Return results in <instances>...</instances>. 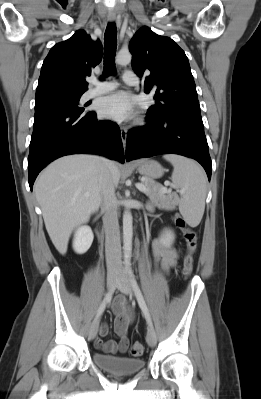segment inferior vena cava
Listing matches in <instances>:
<instances>
[{"mask_svg": "<svg viewBox=\"0 0 261 399\" xmlns=\"http://www.w3.org/2000/svg\"><path fill=\"white\" fill-rule=\"evenodd\" d=\"M108 164V160L105 159ZM101 208L105 229V253L108 272L121 270V243L117 216V199L115 186L108 169L105 170L101 182Z\"/></svg>", "mask_w": 261, "mask_h": 399, "instance_id": "inferior-vena-cava-1", "label": "inferior vena cava"}]
</instances>
